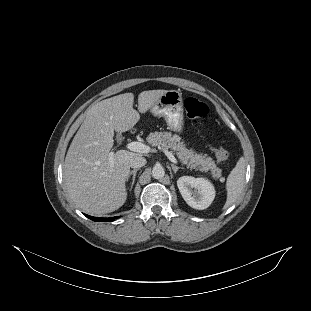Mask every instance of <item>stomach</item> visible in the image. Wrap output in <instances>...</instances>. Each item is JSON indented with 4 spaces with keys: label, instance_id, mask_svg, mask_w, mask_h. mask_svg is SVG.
<instances>
[{
    "label": "stomach",
    "instance_id": "0dacf381",
    "mask_svg": "<svg viewBox=\"0 0 311 311\" xmlns=\"http://www.w3.org/2000/svg\"><path fill=\"white\" fill-rule=\"evenodd\" d=\"M153 116L163 118L169 130L182 133L184 129V107L182 93L168 90L150 109Z\"/></svg>",
    "mask_w": 311,
    "mask_h": 311
}]
</instances>
